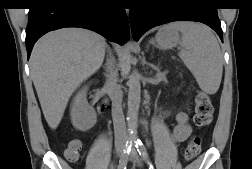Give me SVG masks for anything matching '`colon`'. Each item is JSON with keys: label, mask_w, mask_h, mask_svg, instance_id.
Masks as SVG:
<instances>
[{"label": "colon", "mask_w": 252, "mask_h": 169, "mask_svg": "<svg viewBox=\"0 0 252 169\" xmlns=\"http://www.w3.org/2000/svg\"><path fill=\"white\" fill-rule=\"evenodd\" d=\"M213 104L210 97L199 92L195 99L194 124L197 128H204L210 124L213 115ZM201 150V139L196 136L191 139L185 150V159L187 161L194 160ZM65 157L69 161H77L79 157L78 145L73 144L65 151Z\"/></svg>", "instance_id": "5ec220e1"}]
</instances>
